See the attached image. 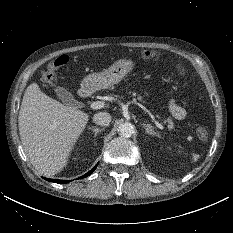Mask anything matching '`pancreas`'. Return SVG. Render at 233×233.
<instances>
[{"instance_id":"1","label":"pancreas","mask_w":233,"mask_h":233,"mask_svg":"<svg viewBox=\"0 0 233 233\" xmlns=\"http://www.w3.org/2000/svg\"><path fill=\"white\" fill-rule=\"evenodd\" d=\"M132 95L135 96V93H132ZM138 100H141V97H138ZM167 122L169 123V127L172 128L173 127L172 119H167Z\"/></svg>"}]
</instances>
